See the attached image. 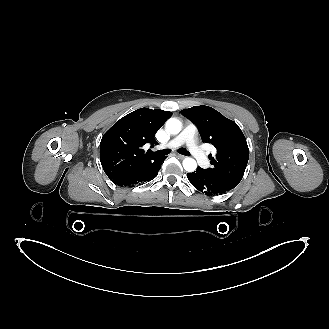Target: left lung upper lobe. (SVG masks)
Instances as JSON below:
<instances>
[{
    "instance_id": "1",
    "label": "left lung upper lobe",
    "mask_w": 329,
    "mask_h": 329,
    "mask_svg": "<svg viewBox=\"0 0 329 329\" xmlns=\"http://www.w3.org/2000/svg\"><path fill=\"white\" fill-rule=\"evenodd\" d=\"M181 113L197 125L202 141L217 149L216 155L209 157L211 168L203 170L211 177L236 187L249 159L248 145L241 129L234 121L208 106H194Z\"/></svg>"
}]
</instances>
